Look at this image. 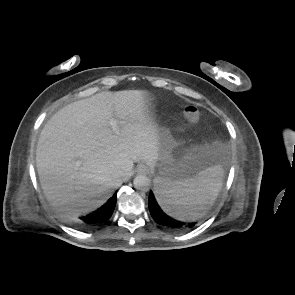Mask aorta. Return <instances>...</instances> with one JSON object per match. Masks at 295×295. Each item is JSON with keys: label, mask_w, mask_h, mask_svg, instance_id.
<instances>
[{"label": "aorta", "mask_w": 295, "mask_h": 295, "mask_svg": "<svg viewBox=\"0 0 295 295\" xmlns=\"http://www.w3.org/2000/svg\"><path fill=\"white\" fill-rule=\"evenodd\" d=\"M134 187L140 191H148L150 188V180L146 175L139 174L133 180Z\"/></svg>", "instance_id": "aorta-1"}]
</instances>
